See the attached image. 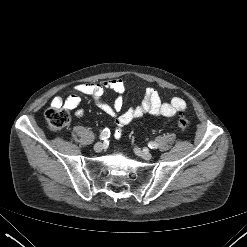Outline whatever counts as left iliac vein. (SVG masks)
<instances>
[{"label": "left iliac vein", "mask_w": 247, "mask_h": 247, "mask_svg": "<svg viewBox=\"0 0 247 247\" xmlns=\"http://www.w3.org/2000/svg\"><path fill=\"white\" fill-rule=\"evenodd\" d=\"M136 153L145 160H150L152 158L151 153L148 150H141L139 148H135Z\"/></svg>", "instance_id": "4c4485c4"}]
</instances>
